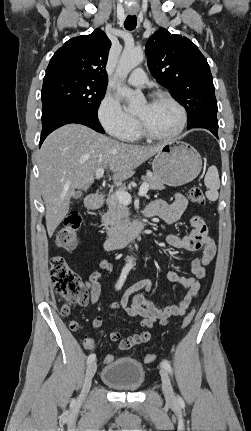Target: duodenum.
Listing matches in <instances>:
<instances>
[{"label":"duodenum","instance_id":"obj_1","mask_svg":"<svg viewBox=\"0 0 251 431\" xmlns=\"http://www.w3.org/2000/svg\"><path fill=\"white\" fill-rule=\"evenodd\" d=\"M102 204L103 199L100 195L94 194L89 196L87 199V206L91 210L98 209ZM149 217L150 214L145 210L143 212L142 218L135 220L131 224L109 236L104 242L105 250L110 251L119 249L133 241L144 229L146 221Z\"/></svg>","mask_w":251,"mask_h":431}]
</instances>
